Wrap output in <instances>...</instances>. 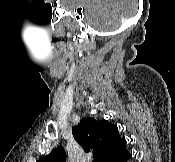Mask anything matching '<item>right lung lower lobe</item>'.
Masks as SVG:
<instances>
[{"instance_id":"98d812e1","label":"right lung lower lobe","mask_w":175,"mask_h":162,"mask_svg":"<svg viewBox=\"0 0 175 162\" xmlns=\"http://www.w3.org/2000/svg\"><path fill=\"white\" fill-rule=\"evenodd\" d=\"M131 158V154L125 149L117 155L111 162H127Z\"/></svg>"}]
</instances>
